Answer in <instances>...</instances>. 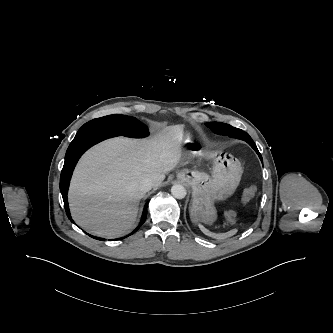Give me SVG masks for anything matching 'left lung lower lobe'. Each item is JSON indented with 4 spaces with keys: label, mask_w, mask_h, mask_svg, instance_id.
Masks as SVG:
<instances>
[{
    "label": "left lung lower lobe",
    "mask_w": 333,
    "mask_h": 333,
    "mask_svg": "<svg viewBox=\"0 0 333 333\" xmlns=\"http://www.w3.org/2000/svg\"><path fill=\"white\" fill-rule=\"evenodd\" d=\"M247 143L256 151V153L259 155V157L261 156L254 141L252 139H246Z\"/></svg>",
    "instance_id": "0a47b994"
}]
</instances>
